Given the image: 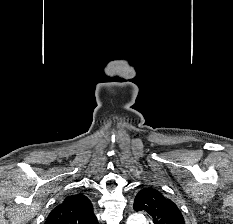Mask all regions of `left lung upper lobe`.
Returning a JSON list of instances; mask_svg holds the SVG:
<instances>
[{
    "instance_id": "5c2ea615",
    "label": "left lung upper lobe",
    "mask_w": 233,
    "mask_h": 224,
    "mask_svg": "<svg viewBox=\"0 0 233 224\" xmlns=\"http://www.w3.org/2000/svg\"><path fill=\"white\" fill-rule=\"evenodd\" d=\"M133 207L135 211H145L155 224H186L178 206L153 188L139 191Z\"/></svg>"
}]
</instances>
